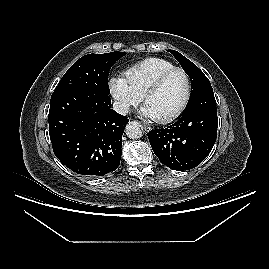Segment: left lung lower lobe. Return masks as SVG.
Instances as JSON below:
<instances>
[{
    "label": "left lung lower lobe",
    "mask_w": 269,
    "mask_h": 269,
    "mask_svg": "<svg viewBox=\"0 0 269 269\" xmlns=\"http://www.w3.org/2000/svg\"><path fill=\"white\" fill-rule=\"evenodd\" d=\"M218 118L213 89L190 99L183 115L164 129L148 133L160 162L173 170H189L211 152L217 137Z\"/></svg>",
    "instance_id": "1"
}]
</instances>
